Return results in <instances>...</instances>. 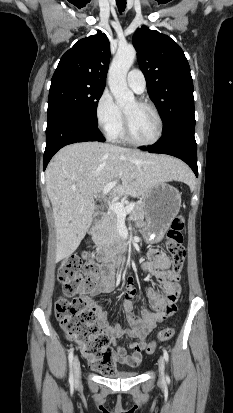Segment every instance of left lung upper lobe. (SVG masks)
<instances>
[{
	"mask_svg": "<svg viewBox=\"0 0 233 413\" xmlns=\"http://www.w3.org/2000/svg\"><path fill=\"white\" fill-rule=\"evenodd\" d=\"M133 44L164 131L179 122L195 124L193 81L181 47L169 36L145 26L135 32Z\"/></svg>",
	"mask_w": 233,
	"mask_h": 413,
	"instance_id": "left-lung-upper-lobe-1",
	"label": "left lung upper lobe"
}]
</instances>
